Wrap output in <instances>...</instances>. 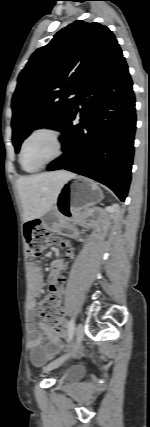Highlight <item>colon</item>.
I'll return each instance as SVG.
<instances>
[{
	"label": "colon",
	"mask_w": 150,
	"mask_h": 427,
	"mask_svg": "<svg viewBox=\"0 0 150 427\" xmlns=\"http://www.w3.org/2000/svg\"><path fill=\"white\" fill-rule=\"evenodd\" d=\"M25 237L27 240V257L29 260L37 259L42 251L52 242V234L42 225L40 220H32L25 224ZM64 279L58 282V287H63ZM57 286L50 288L49 293L40 301L38 312L41 324L55 333L63 331L60 294Z\"/></svg>",
	"instance_id": "colon-1"
}]
</instances>
